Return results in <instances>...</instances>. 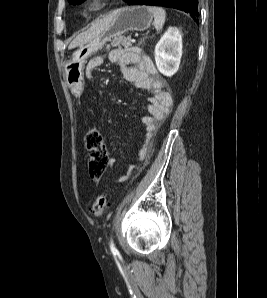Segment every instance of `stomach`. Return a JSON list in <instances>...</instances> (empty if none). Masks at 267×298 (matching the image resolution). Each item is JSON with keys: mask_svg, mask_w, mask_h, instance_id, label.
Returning a JSON list of instances; mask_svg holds the SVG:
<instances>
[{"mask_svg": "<svg viewBox=\"0 0 267 298\" xmlns=\"http://www.w3.org/2000/svg\"><path fill=\"white\" fill-rule=\"evenodd\" d=\"M108 28L86 44L78 47L65 63V78L72 93L83 92V75L86 60L100 50L111 39L127 31H144L152 23L153 15L145 6L123 7L113 12Z\"/></svg>", "mask_w": 267, "mask_h": 298, "instance_id": "stomach-1", "label": "stomach"}]
</instances>
